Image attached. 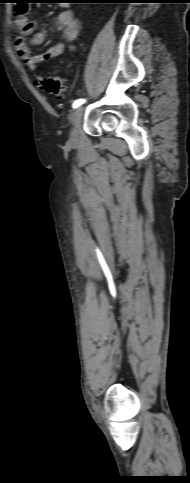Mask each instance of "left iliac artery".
Here are the masks:
<instances>
[{
	"label": "left iliac artery",
	"mask_w": 190,
	"mask_h": 483,
	"mask_svg": "<svg viewBox=\"0 0 190 483\" xmlns=\"http://www.w3.org/2000/svg\"><path fill=\"white\" fill-rule=\"evenodd\" d=\"M85 101H86L85 99L75 100L74 103H73V108H77V107L81 106Z\"/></svg>",
	"instance_id": "1"
}]
</instances>
